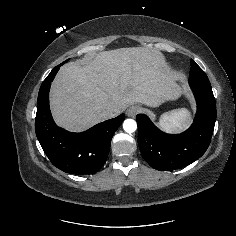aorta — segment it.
<instances>
[{
    "mask_svg": "<svg viewBox=\"0 0 236 236\" xmlns=\"http://www.w3.org/2000/svg\"><path fill=\"white\" fill-rule=\"evenodd\" d=\"M123 129L125 130V132L127 133H133L136 131L137 129V123L135 120L133 119H126L123 122Z\"/></svg>",
    "mask_w": 236,
    "mask_h": 236,
    "instance_id": "obj_1",
    "label": "aorta"
}]
</instances>
